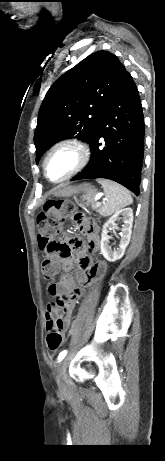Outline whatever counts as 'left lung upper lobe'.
<instances>
[{
	"label": "left lung upper lobe",
	"instance_id": "obj_1",
	"mask_svg": "<svg viewBox=\"0 0 165 461\" xmlns=\"http://www.w3.org/2000/svg\"><path fill=\"white\" fill-rule=\"evenodd\" d=\"M126 74L117 56L100 51L57 79L39 110L34 135L36 162L60 140L74 137L89 143Z\"/></svg>",
	"mask_w": 165,
	"mask_h": 461
}]
</instances>
